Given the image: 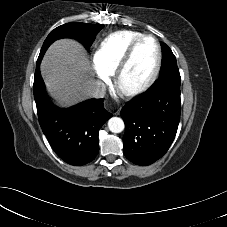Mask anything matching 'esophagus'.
<instances>
[{
	"mask_svg": "<svg viewBox=\"0 0 227 227\" xmlns=\"http://www.w3.org/2000/svg\"><path fill=\"white\" fill-rule=\"evenodd\" d=\"M114 115H119V110H116V111L114 112Z\"/></svg>",
	"mask_w": 227,
	"mask_h": 227,
	"instance_id": "34e87169",
	"label": "esophagus"
}]
</instances>
